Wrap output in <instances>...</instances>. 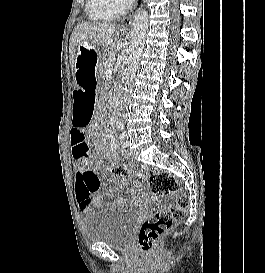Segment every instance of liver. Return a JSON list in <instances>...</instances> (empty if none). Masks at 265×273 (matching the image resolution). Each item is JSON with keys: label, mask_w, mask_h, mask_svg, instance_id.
I'll use <instances>...</instances> for the list:
<instances>
[{"label": "liver", "mask_w": 265, "mask_h": 273, "mask_svg": "<svg viewBox=\"0 0 265 273\" xmlns=\"http://www.w3.org/2000/svg\"><path fill=\"white\" fill-rule=\"evenodd\" d=\"M122 31V28H117L111 24L99 22L78 23L71 34L69 45L70 63L73 72L76 71L75 59L78 47L88 43L95 49L100 50V47H105L106 50H111L118 44Z\"/></svg>", "instance_id": "1"}]
</instances>
